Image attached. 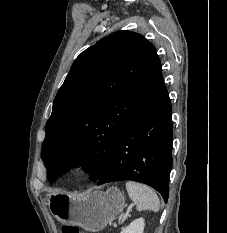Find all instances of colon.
<instances>
[{
	"instance_id": "5ec220e1",
	"label": "colon",
	"mask_w": 227,
	"mask_h": 233,
	"mask_svg": "<svg viewBox=\"0 0 227 233\" xmlns=\"http://www.w3.org/2000/svg\"><path fill=\"white\" fill-rule=\"evenodd\" d=\"M62 233H88L77 226H65L62 229Z\"/></svg>"
}]
</instances>
